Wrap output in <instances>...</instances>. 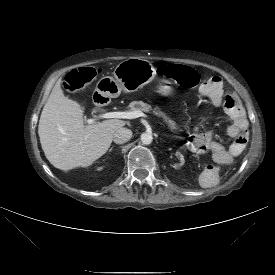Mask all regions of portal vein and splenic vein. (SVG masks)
I'll return each instance as SVG.
<instances>
[{
	"label": "portal vein and splenic vein",
	"mask_w": 275,
	"mask_h": 275,
	"mask_svg": "<svg viewBox=\"0 0 275 275\" xmlns=\"http://www.w3.org/2000/svg\"><path fill=\"white\" fill-rule=\"evenodd\" d=\"M144 116V114L141 111H118V112H105L101 113L98 116H95L94 118H90L85 120L86 123L92 124L96 122L99 119H106V118H122V119H135L138 117Z\"/></svg>",
	"instance_id": "obj_1"
}]
</instances>
